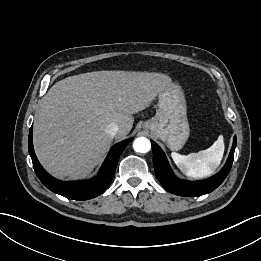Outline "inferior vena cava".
Wrapping results in <instances>:
<instances>
[{
	"label": "inferior vena cava",
	"instance_id": "602c4592",
	"mask_svg": "<svg viewBox=\"0 0 261 261\" xmlns=\"http://www.w3.org/2000/svg\"><path fill=\"white\" fill-rule=\"evenodd\" d=\"M118 131H119V126L114 122L110 123L106 128V132L112 137H114Z\"/></svg>",
	"mask_w": 261,
	"mask_h": 261
}]
</instances>
